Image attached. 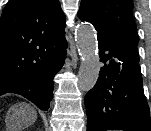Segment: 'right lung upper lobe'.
Instances as JSON below:
<instances>
[{
    "mask_svg": "<svg viewBox=\"0 0 151 131\" xmlns=\"http://www.w3.org/2000/svg\"><path fill=\"white\" fill-rule=\"evenodd\" d=\"M58 0H10L0 19V93L36 73L65 36Z\"/></svg>",
    "mask_w": 151,
    "mask_h": 131,
    "instance_id": "obj_1",
    "label": "right lung upper lobe"
}]
</instances>
